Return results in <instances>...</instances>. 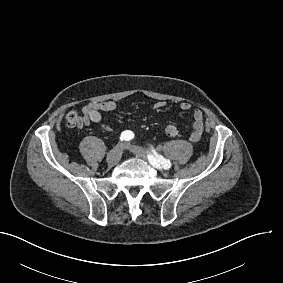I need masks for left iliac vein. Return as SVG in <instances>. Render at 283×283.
<instances>
[{
    "mask_svg": "<svg viewBox=\"0 0 283 283\" xmlns=\"http://www.w3.org/2000/svg\"><path fill=\"white\" fill-rule=\"evenodd\" d=\"M124 149H130L133 154H135L136 156L142 158V159H146L148 155L147 151L139 146H132L130 143H125L123 145ZM154 166V165H153ZM155 168L162 170L165 169L164 167L161 166V164H158L157 166H154Z\"/></svg>",
    "mask_w": 283,
    "mask_h": 283,
    "instance_id": "left-iliac-vein-1",
    "label": "left iliac vein"
}]
</instances>
